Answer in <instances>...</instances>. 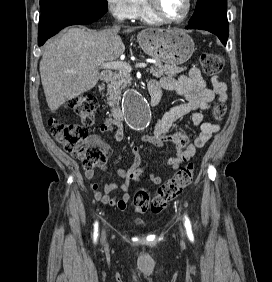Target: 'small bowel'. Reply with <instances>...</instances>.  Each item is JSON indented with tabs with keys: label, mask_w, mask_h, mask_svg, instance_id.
Returning <instances> with one entry per match:
<instances>
[{
	"label": "small bowel",
	"mask_w": 272,
	"mask_h": 282,
	"mask_svg": "<svg viewBox=\"0 0 272 282\" xmlns=\"http://www.w3.org/2000/svg\"><path fill=\"white\" fill-rule=\"evenodd\" d=\"M159 84L161 89L169 90L177 93L185 98V102L174 106L168 113L162 116L155 124L154 131L150 135H145L141 138L142 141L151 143L153 145L162 147L167 142H172L177 147V155L168 159V165L173 169H178L179 166L190 160L196 152V149L202 148L210 140L212 134L220 127L219 123L205 122L202 113L199 110H208L211 103L215 100L227 101V85L218 80L216 77L211 78V87H208L205 79L197 68H192L188 75H182L178 78L163 77ZM191 113V120L194 126L200 127L199 136L190 140L180 132H174L171 129L172 123L175 119L183 117ZM101 131L107 133L114 131V137L117 141L124 139V126L121 122L107 119L101 125ZM90 141H100L101 137L98 135H91ZM133 152V168L123 169L118 168V176L123 180L120 185L110 183L106 184L103 190H100L97 183L92 182L90 187L97 200L116 207L120 211L127 208L130 200L129 180L135 168L141 165V156L139 148L134 146ZM105 165L110 161L112 151L106 147ZM84 176L87 180H92L94 176L93 170L86 169ZM150 180L154 184H161L162 178L158 175L151 174ZM116 189L121 190L120 196H111V193Z\"/></svg>",
	"instance_id": "1"
}]
</instances>
